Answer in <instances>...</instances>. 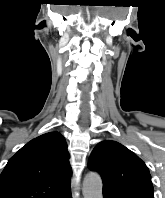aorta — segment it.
I'll return each mask as SVG.
<instances>
[{"instance_id": "762f6f07", "label": "aorta", "mask_w": 165, "mask_h": 198, "mask_svg": "<svg viewBox=\"0 0 165 198\" xmlns=\"http://www.w3.org/2000/svg\"><path fill=\"white\" fill-rule=\"evenodd\" d=\"M102 179L96 172H89L83 181L84 198H103Z\"/></svg>"}]
</instances>
